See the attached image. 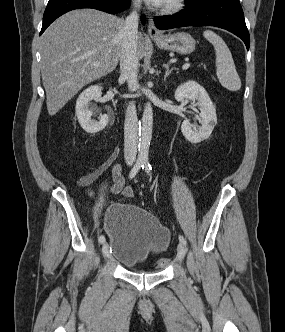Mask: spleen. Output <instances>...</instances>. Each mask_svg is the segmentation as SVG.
Instances as JSON below:
<instances>
[{
  "mask_svg": "<svg viewBox=\"0 0 285 332\" xmlns=\"http://www.w3.org/2000/svg\"><path fill=\"white\" fill-rule=\"evenodd\" d=\"M203 36L214 46L216 75L220 84L230 91L239 90L241 88V80L235 69V64L228 46L219 35L211 30L204 31Z\"/></svg>",
  "mask_w": 285,
  "mask_h": 332,
  "instance_id": "3e777b00",
  "label": "spleen"
}]
</instances>
